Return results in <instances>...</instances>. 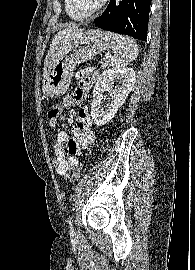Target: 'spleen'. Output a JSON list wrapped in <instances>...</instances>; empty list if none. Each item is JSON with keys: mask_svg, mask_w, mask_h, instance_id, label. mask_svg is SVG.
Wrapping results in <instances>:
<instances>
[{"mask_svg": "<svg viewBox=\"0 0 195 270\" xmlns=\"http://www.w3.org/2000/svg\"><path fill=\"white\" fill-rule=\"evenodd\" d=\"M105 35L111 42L114 57L111 58V66L120 68L128 65L138 56L137 44L128 36L106 31Z\"/></svg>", "mask_w": 195, "mask_h": 270, "instance_id": "spleen-1", "label": "spleen"}]
</instances>
